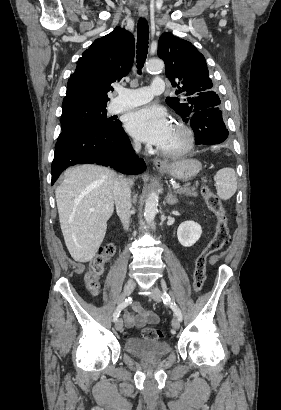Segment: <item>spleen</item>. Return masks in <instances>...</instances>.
I'll list each match as a JSON object with an SVG mask.
<instances>
[{"label": "spleen", "mask_w": 281, "mask_h": 410, "mask_svg": "<svg viewBox=\"0 0 281 410\" xmlns=\"http://www.w3.org/2000/svg\"><path fill=\"white\" fill-rule=\"evenodd\" d=\"M217 195L222 200L230 199L237 190V180L234 169H220L214 176Z\"/></svg>", "instance_id": "3e777b00"}]
</instances>
